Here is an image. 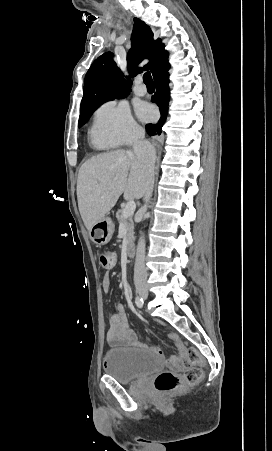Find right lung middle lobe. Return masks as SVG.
<instances>
[{
  "label": "right lung middle lobe",
  "mask_w": 272,
  "mask_h": 451,
  "mask_svg": "<svg viewBox=\"0 0 272 451\" xmlns=\"http://www.w3.org/2000/svg\"><path fill=\"white\" fill-rule=\"evenodd\" d=\"M97 108V107H96ZM96 108H90L83 111H80V117H79V123L78 127H82L90 118V116L93 114Z\"/></svg>",
  "instance_id": "dd1d6c3e"
}]
</instances>
